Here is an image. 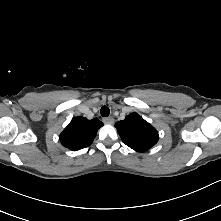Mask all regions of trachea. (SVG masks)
Masks as SVG:
<instances>
[{
    "instance_id": "1",
    "label": "trachea",
    "mask_w": 221,
    "mask_h": 221,
    "mask_svg": "<svg viewBox=\"0 0 221 221\" xmlns=\"http://www.w3.org/2000/svg\"><path fill=\"white\" fill-rule=\"evenodd\" d=\"M100 113H101V115H102L103 117H108L109 114H110V110H109V108H108L107 106H103V107L101 108Z\"/></svg>"
}]
</instances>
